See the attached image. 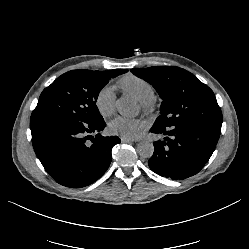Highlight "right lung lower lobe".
I'll return each mask as SVG.
<instances>
[{
	"label": "right lung lower lobe",
	"instance_id": "right-lung-lower-lobe-1",
	"mask_svg": "<svg viewBox=\"0 0 249 249\" xmlns=\"http://www.w3.org/2000/svg\"><path fill=\"white\" fill-rule=\"evenodd\" d=\"M105 125L104 120L88 124L61 117L35 119L30 122L32 145L56 182L72 188L84 187L106 172L111 150L120 143L117 136L100 134Z\"/></svg>",
	"mask_w": 249,
	"mask_h": 249
}]
</instances>
